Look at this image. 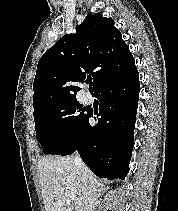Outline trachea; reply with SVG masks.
<instances>
[{
  "instance_id": "trachea-1",
  "label": "trachea",
  "mask_w": 178,
  "mask_h": 211,
  "mask_svg": "<svg viewBox=\"0 0 178 211\" xmlns=\"http://www.w3.org/2000/svg\"><path fill=\"white\" fill-rule=\"evenodd\" d=\"M91 82H92V79L89 80V83H91Z\"/></svg>"
}]
</instances>
